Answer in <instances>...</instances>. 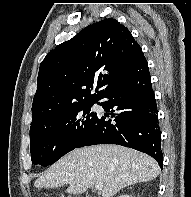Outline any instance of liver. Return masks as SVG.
<instances>
[{"label":"liver","mask_w":191,"mask_h":197,"mask_svg":"<svg viewBox=\"0 0 191 197\" xmlns=\"http://www.w3.org/2000/svg\"><path fill=\"white\" fill-rule=\"evenodd\" d=\"M160 168L142 152L119 145H94L75 149L54 163L35 181L36 188H58L82 194L102 183V197H112L126 186L153 180Z\"/></svg>","instance_id":"6515ba94"}]
</instances>
